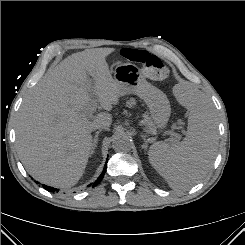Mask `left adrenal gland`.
Here are the masks:
<instances>
[{
    "label": "left adrenal gland",
    "instance_id": "1",
    "mask_svg": "<svg viewBox=\"0 0 245 245\" xmlns=\"http://www.w3.org/2000/svg\"><path fill=\"white\" fill-rule=\"evenodd\" d=\"M141 137H142L143 140H144V144L142 145V148H143V149H147V140H146V138H145L144 135H141Z\"/></svg>",
    "mask_w": 245,
    "mask_h": 245
}]
</instances>
